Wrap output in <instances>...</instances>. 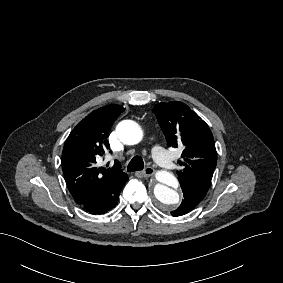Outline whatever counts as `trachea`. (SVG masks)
Here are the masks:
<instances>
[{"mask_svg": "<svg viewBox=\"0 0 283 283\" xmlns=\"http://www.w3.org/2000/svg\"><path fill=\"white\" fill-rule=\"evenodd\" d=\"M144 168V161L140 156H134L128 164L127 171L135 172Z\"/></svg>", "mask_w": 283, "mask_h": 283, "instance_id": "trachea-1", "label": "trachea"}]
</instances>
